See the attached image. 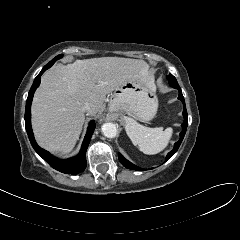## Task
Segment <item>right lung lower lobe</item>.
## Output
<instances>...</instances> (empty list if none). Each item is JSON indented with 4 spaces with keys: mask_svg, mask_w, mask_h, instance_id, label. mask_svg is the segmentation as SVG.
Listing matches in <instances>:
<instances>
[{
    "mask_svg": "<svg viewBox=\"0 0 240 240\" xmlns=\"http://www.w3.org/2000/svg\"><path fill=\"white\" fill-rule=\"evenodd\" d=\"M54 62L55 61L51 60L47 65H45L43 67L41 72L35 78L34 83L29 91L27 102H26V110H25V127H26V131H27V134H28V137H29L32 147L46 162H48L50 164V166L52 168H54L55 170H58L62 173H65V174L75 175V174H78V173L84 171L87 166L86 150L88 148L89 142L91 140V136L95 129V122L91 121L89 123V127H88L87 133L85 135L84 141L82 143L80 153L76 157L67 159V160H60V159L51 157L50 154L46 150L40 148L37 145V143L35 142L32 128H31V102H32L34 92L40 84L41 75L48 68H50L54 64Z\"/></svg>",
    "mask_w": 240,
    "mask_h": 240,
    "instance_id": "obj_1",
    "label": "right lung lower lobe"
}]
</instances>
